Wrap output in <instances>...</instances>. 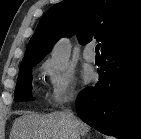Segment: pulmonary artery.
I'll return each instance as SVG.
<instances>
[{"instance_id": "1", "label": "pulmonary artery", "mask_w": 141, "mask_h": 139, "mask_svg": "<svg viewBox=\"0 0 141 139\" xmlns=\"http://www.w3.org/2000/svg\"><path fill=\"white\" fill-rule=\"evenodd\" d=\"M83 58L87 62H94L95 61V53L93 51V46L88 45L83 51Z\"/></svg>"}]
</instances>
